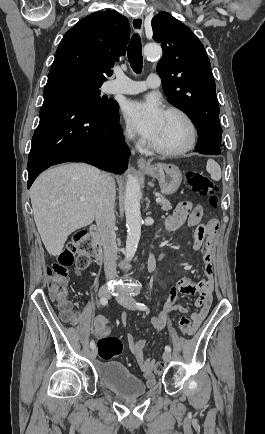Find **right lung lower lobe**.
<instances>
[{"mask_svg": "<svg viewBox=\"0 0 265 434\" xmlns=\"http://www.w3.org/2000/svg\"><path fill=\"white\" fill-rule=\"evenodd\" d=\"M43 95L28 157V189L42 171L59 163L85 162L116 174L127 169L130 152L118 108L113 114H94L60 87H45Z\"/></svg>", "mask_w": 265, "mask_h": 434, "instance_id": "right-lung-lower-lobe-1", "label": "right lung lower lobe"}]
</instances>
